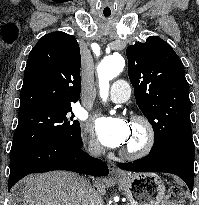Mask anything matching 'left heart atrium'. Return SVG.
<instances>
[{"mask_svg": "<svg viewBox=\"0 0 199 205\" xmlns=\"http://www.w3.org/2000/svg\"><path fill=\"white\" fill-rule=\"evenodd\" d=\"M92 129L98 140L110 148L124 145L130 135V125L124 118H98L93 122Z\"/></svg>", "mask_w": 199, "mask_h": 205, "instance_id": "39dd6f15", "label": "left heart atrium"}]
</instances>
